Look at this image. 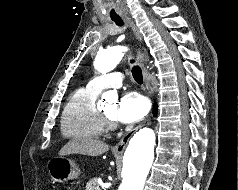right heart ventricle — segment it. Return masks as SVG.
Wrapping results in <instances>:
<instances>
[{"instance_id": "1", "label": "right heart ventricle", "mask_w": 238, "mask_h": 190, "mask_svg": "<svg viewBox=\"0 0 238 190\" xmlns=\"http://www.w3.org/2000/svg\"><path fill=\"white\" fill-rule=\"evenodd\" d=\"M99 92L90 87L77 89L69 97L61 117V132L77 139L98 138L104 133L96 100Z\"/></svg>"}]
</instances>
